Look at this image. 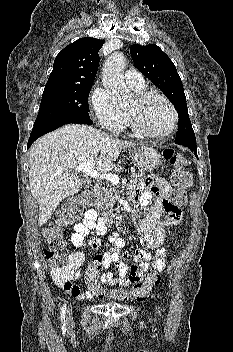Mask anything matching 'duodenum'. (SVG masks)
Returning a JSON list of instances; mask_svg holds the SVG:
<instances>
[{
  "mask_svg": "<svg viewBox=\"0 0 233 352\" xmlns=\"http://www.w3.org/2000/svg\"><path fill=\"white\" fill-rule=\"evenodd\" d=\"M99 191V185L95 184L92 186L90 190V195L95 196ZM122 209L120 208H115L109 211H98L97 215L100 221L104 224L113 221L115 219H118L122 215Z\"/></svg>",
  "mask_w": 233,
  "mask_h": 352,
  "instance_id": "410a0bca",
  "label": "duodenum"
}]
</instances>
